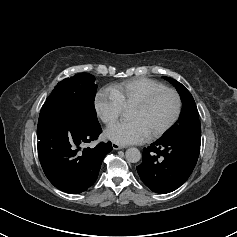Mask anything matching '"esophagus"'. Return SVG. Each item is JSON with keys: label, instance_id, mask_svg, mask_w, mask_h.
I'll return each instance as SVG.
<instances>
[{"label": "esophagus", "instance_id": "34e87169", "mask_svg": "<svg viewBox=\"0 0 237 237\" xmlns=\"http://www.w3.org/2000/svg\"><path fill=\"white\" fill-rule=\"evenodd\" d=\"M112 147L114 150H119V149H123L124 147L115 143V142H112Z\"/></svg>", "mask_w": 237, "mask_h": 237}]
</instances>
